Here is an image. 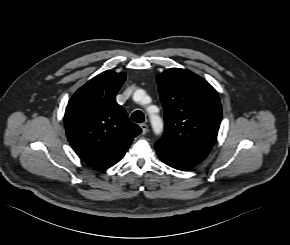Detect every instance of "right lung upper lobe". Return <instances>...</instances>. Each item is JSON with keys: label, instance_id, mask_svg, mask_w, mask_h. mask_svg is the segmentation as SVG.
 <instances>
[{"label": "right lung upper lobe", "instance_id": "right-lung-upper-lobe-1", "mask_svg": "<svg viewBox=\"0 0 290 245\" xmlns=\"http://www.w3.org/2000/svg\"><path fill=\"white\" fill-rule=\"evenodd\" d=\"M124 81V73L104 71L79 88L66 108L65 129L72 148L101 170L117 163L141 133L115 100Z\"/></svg>", "mask_w": 290, "mask_h": 245}]
</instances>
